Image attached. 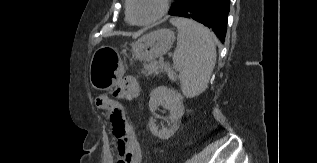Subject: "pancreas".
Returning a JSON list of instances; mask_svg holds the SVG:
<instances>
[{
	"label": "pancreas",
	"mask_w": 317,
	"mask_h": 163,
	"mask_svg": "<svg viewBox=\"0 0 317 163\" xmlns=\"http://www.w3.org/2000/svg\"><path fill=\"white\" fill-rule=\"evenodd\" d=\"M169 66L167 64L158 63V62H150L148 64L143 65L142 73L146 75L159 74L162 71H169Z\"/></svg>",
	"instance_id": "obj_1"
}]
</instances>
